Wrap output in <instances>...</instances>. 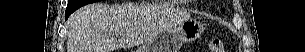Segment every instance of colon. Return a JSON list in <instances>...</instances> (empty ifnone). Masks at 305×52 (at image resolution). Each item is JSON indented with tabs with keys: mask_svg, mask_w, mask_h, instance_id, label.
I'll use <instances>...</instances> for the list:
<instances>
[{
	"mask_svg": "<svg viewBox=\"0 0 305 52\" xmlns=\"http://www.w3.org/2000/svg\"><path fill=\"white\" fill-rule=\"evenodd\" d=\"M211 52H224V45L220 39H213L210 42Z\"/></svg>",
	"mask_w": 305,
	"mask_h": 52,
	"instance_id": "5ec220e1",
	"label": "colon"
}]
</instances>
